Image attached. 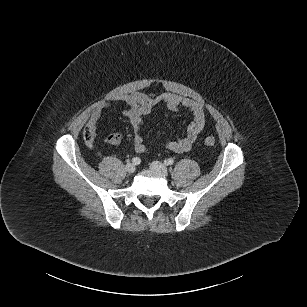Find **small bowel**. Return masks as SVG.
Listing matches in <instances>:
<instances>
[{"mask_svg": "<svg viewBox=\"0 0 307 307\" xmlns=\"http://www.w3.org/2000/svg\"><path fill=\"white\" fill-rule=\"evenodd\" d=\"M122 100L126 103V109L123 111V114L129 119L133 129L134 149L139 154L145 153L148 149L144 143L141 131L144 117L152 111L155 105L163 103L171 111H178L184 108L193 114V121L188 126L185 135L178 139L168 140L164 144L168 150L175 153H183L191 149L197 137L204 129L207 119L206 109L202 103L173 93L151 96L141 92H133L123 96ZM110 105V102L103 103L92 112L87 127L93 132L102 112Z\"/></svg>", "mask_w": 307, "mask_h": 307, "instance_id": "1", "label": "small bowel"}]
</instances>
